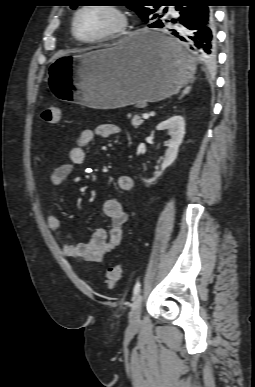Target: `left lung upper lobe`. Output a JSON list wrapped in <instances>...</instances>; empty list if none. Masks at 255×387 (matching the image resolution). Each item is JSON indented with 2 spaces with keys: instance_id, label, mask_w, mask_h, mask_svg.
<instances>
[{
  "instance_id": "left-lung-upper-lobe-1",
  "label": "left lung upper lobe",
  "mask_w": 255,
  "mask_h": 387,
  "mask_svg": "<svg viewBox=\"0 0 255 387\" xmlns=\"http://www.w3.org/2000/svg\"><path fill=\"white\" fill-rule=\"evenodd\" d=\"M175 0H122L128 8L134 10L140 18L146 23L151 24L158 19H160L161 13L158 8L162 5H169V3ZM150 4L153 8H148L145 5ZM72 9H75L77 6H71ZM167 11V8L164 9V12Z\"/></svg>"
}]
</instances>
